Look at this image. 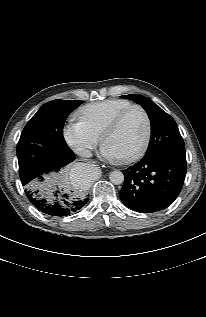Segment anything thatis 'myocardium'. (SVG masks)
Listing matches in <instances>:
<instances>
[{"label": "myocardium", "instance_id": "obj_1", "mask_svg": "<svg viewBox=\"0 0 206 317\" xmlns=\"http://www.w3.org/2000/svg\"><path fill=\"white\" fill-rule=\"evenodd\" d=\"M133 110H139L144 116L145 119V124H146V129H145V135L143 138L142 143L140 146L134 150L132 153L125 155L123 157H120L119 159L122 161H132L138 157H140L147 149L150 139H151V134H152V122L150 115L148 111L139 104H133L123 111H121L119 114H117L105 127L104 131L101 134V142L102 144L105 143L106 138L113 133L122 123V121L125 119V117L132 112Z\"/></svg>", "mask_w": 206, "mask_h": 317}]
</instances>
